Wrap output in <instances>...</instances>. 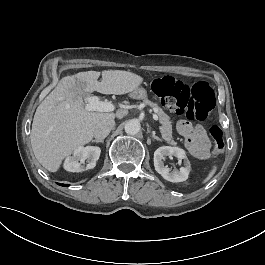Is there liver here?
<instances>
[{"mask_svg": "<svg viewBox=\"0 0 265 265\" xmlns=\"http://www.w3.org/2000/svg\"><path fill=\"white\" fill-rule=\"evenodd\" d=\"M79 72L63 77L37 107L30 134L31 145L38 162L48 171L56 172L62 160L79 146L93 138L95 126L103 120H113L114 113L86 111L84 93L121 95L132 92L143 78L127 71Z\"/></svg>", "mask_w": 265, "mask_h": 265, "instance_id": "6515ba94", "label": "liver"}]
</instances>
